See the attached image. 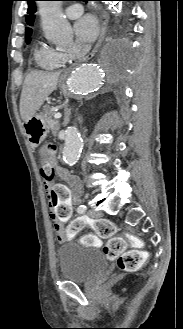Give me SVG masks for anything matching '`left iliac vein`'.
Instances as JSON below:
<instances>
[{
  "label": "left iliac vein",
  "instance_id": "1",
  "mask_svg": "<svg viewBox=\"0 0 183 329\" xmlns=\"http://www.w3.org/2000/svg\"><path fill=\"white\" fill-rule=\"evenodd\" d=\"M88 215L92 218H97V217H101L102 213L98 210L91 208L88 210Z\"/></svg>",
  "mask_w": 183,
  "mask_h": 329
}]
</instances>
